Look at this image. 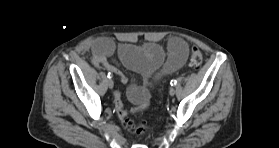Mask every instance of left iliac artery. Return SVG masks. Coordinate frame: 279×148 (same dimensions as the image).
<instances>
[{
  "mask_svg": "<svg viewBox=\"0 0 279 148\" xmlns=\"http://www.w3.org/2000/svg\"><path fill=\"white\" fill-rule=\"evenodd\" d=\"M171 86H175L177 84V81L175 79L171 80L170 82Z\"/></svg>",
  "mask_w": 279,
  "mask_h": 148,
  "instance_id": "left-iliac-artery-1",
  "label": "left iliac artery"
}]
</instances>
